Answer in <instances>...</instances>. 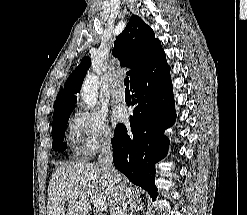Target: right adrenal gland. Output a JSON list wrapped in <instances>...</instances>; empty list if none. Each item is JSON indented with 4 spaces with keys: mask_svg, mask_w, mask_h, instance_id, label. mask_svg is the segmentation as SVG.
<instances>
[{
    "mask_svg": "<svg viewBox=\"0 0 247 215\" xmlns=\"http://www.w3.org/2000/svg\"><path fill=\"white\" fill-rule=\"evenodd\" d=\"M143 210H144L143 204H140V202H138L137 204L135 201H133L130 203V213L128 215H133V213Z\"/></svg>",
    "mask_w": 247,
    "mask_h": 215,
    "instance_id": "2a0ac1e0",
    "label": "right adrenal gland"
}]
</instances>
